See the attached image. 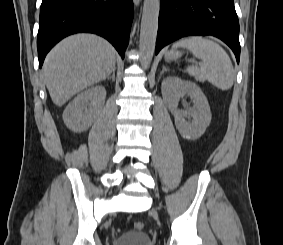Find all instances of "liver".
<instances>
[{"label":"liver","mask_w":283,"mask_h":245,"mask_svg":"<svg viewBox=\"0 0 283 245\" xmlns=\"http://www.w3.org/2000/svg\"><path fill=\"white\" fill-rule=\"evenodd\" d=\"M116 51L105 39L77 34L58 43L47 55L42 73L56 106L105 80L115 69Z\"/></svg>","instance_id":"obj_1"}]
</instances>
